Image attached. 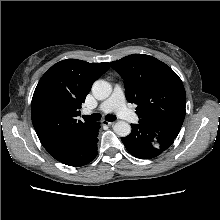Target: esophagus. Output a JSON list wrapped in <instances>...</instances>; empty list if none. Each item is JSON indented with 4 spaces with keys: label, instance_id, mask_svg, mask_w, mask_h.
Returning <instances> with one entry per match:
<instances>
[{
    "label": "esophagus",
    "instance_id": "34e87169",
    "mask_svg": "<svg viewBox=\"0 0 220 220\" xmlns=\"http://www.w3.org/2000/svg\"><path fill=\"white\" fill-rule=\"evenodd\" d=\"M103 124L110 126V125H113L114 122H109V121L104 120Z\"/></svg>",
    "mask_w": 220,
    "mask_h": 220
}]
</instances>
